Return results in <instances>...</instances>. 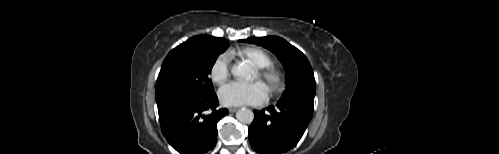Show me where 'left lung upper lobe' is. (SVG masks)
<instances>
[{
    "instance_id": "left-lung-upper-lobe-1",
    "label": "left lung upper lobe",
    "mask_w": 499,
    "mask_h": 154,
    "mask_svg": "<svg viewBox=\"0 0 499 154\" xmlns=\"http://www.w3.org/2000/svg\"><path fill=\"white\" fill-rule=\"evenodd\" d=\"M239 41L254 43L269 49L283 64L286 72V89L281 99L293 94L315 95L316 82L313 70L308 59L300 50L276 36L250 37Z\"/></svg>"
}]
</instances>
